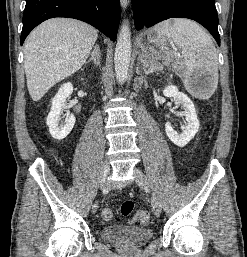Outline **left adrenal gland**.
Instances as JSON below:
<instances>
[{
    "label": "left adrenal gland",
    "instance_id": "obj_1",
    "mask_svg": "<svg viewBox=\"0 0 247 257\" xmlns=\"http://www.w3.org/2000/svg\"><path fill=\"white\" fill-rule=\"evenodd\" d=\"M162 69H163V67L158 62H156V63L152 64L148 68V70L144 69V72H145L146 75H149L150 73H154V72L160 71Z\"/></svg>",
    "mask_w": 247,
    "mask_h": 257
}]
</instances>
